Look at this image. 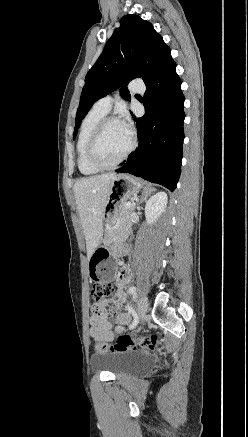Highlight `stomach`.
I'll return each mask as SVG.
<instances>
[{"label": "stomach", "instance_id": "0dacf381", "mask_svg": "<svg viewBox=\"0 0 248 437\" xmlns=\"http://www.w3.org/2000/svg\"><path fill=\"white\" fill-rule=\"evenodd\" d=\"M142 190L141 182L128 174H119L112 180L109 198L104 210L103 219L114 225L119 216L122 204ZM145 197L147 190L144 191ZM112 231H107L106 243L96 248L89 259L86 270L94 286H111L117 268V258L112 255Z\"/></svg>", "mask_w": 248, "mask_h": 437}]
</instances>
